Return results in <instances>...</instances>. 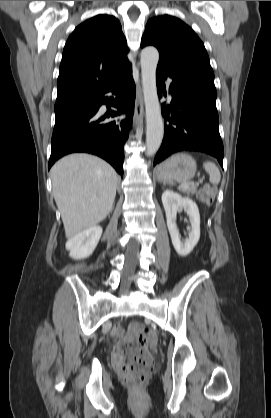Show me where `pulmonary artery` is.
<instances>
[{
  "label": "pulmonary artery",
  "mask_w": 271,
  "mask_h": 418,
  "mask_svg": "<svg viewBox=\"0 0 271 418\" xmlns=\"http://www.w3.org/2000/svg\"><path fill=\"white\" fill-rule=\"evenodd\" d=\"M167 84H168V85L170 84V81H169V80L167 81Z\"/></svg>",
  "instance_id": "obj_1"
}]
</instances>
